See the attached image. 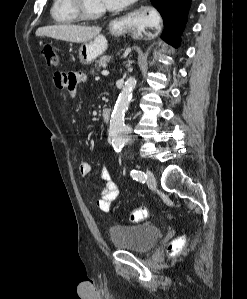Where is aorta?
<instances>
[{
    "label": "aorta",
    "instance_id": "1",
    "mask_svg": "<svg viewBox=\"0 0 247 299\" xmlns=\"http://www.w3.org/2000/svg\"><path fill=\"white\" fill-rule=\"evenodd\" d=\"M136 84L137 81L133 77L126 80L111 114L109 135L112 139V146L117 152L121 151L122 147L130 140L131 129L125 124L124 119Z\"/></svg>",
    "mask_w": 247,
    "mask_h": 299
}]
</instances>
